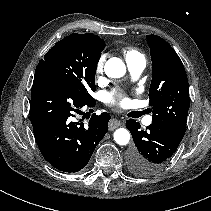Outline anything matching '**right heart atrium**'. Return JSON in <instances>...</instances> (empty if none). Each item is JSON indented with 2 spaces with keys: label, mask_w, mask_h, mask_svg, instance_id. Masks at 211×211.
Masks as SVG:
<instances>
[{
  "label": "right heart atrium",
  "mask_w": 211,
  "mask_h": 211,
  "mask_svg": "<svg viewBox=\"0 0 211 211\" xmlns=\"http://www.w3.org/2000/svg\"><path fill=\"white\" fill-rule=\"evenodd\" d=\"M103 69H104V57H101L95 66V74L97 77L101 76V74L103 73Z\"/></svg>",
  "instance_id": "obj_1"
}]
</instances>
